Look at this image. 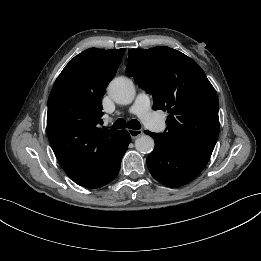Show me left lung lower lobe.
I'll return each mask as SVG.
<instances>
[{"mask_svg":"<svg viewBox=\"0 0 261 261\" xmlns=\"http://www.w3.org/2000/svg\"><path fill=\"white\" fill-rule=\"evenodd\" d=\"M145 133L155 141V148L146 159L149 171L168 187H179L194 180L211 157V150L180 147L158 133Z\"/></svg>","mask_w":261,"mask_h":261,"instance_id":"1","label":"left lung lower lobe"}]
</instances>
